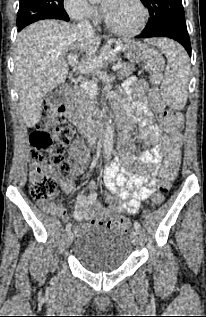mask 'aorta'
Segmentation results:
<instances>
[{"label": "aorta", "mask_w": 206, "mask_h": 317, "mask_svg": "<svg viewBox=\"0 0 206 317\" xmlns=\"http://www.w3.org/2000/svg\"><path fill=\"white\" fill-rule=\"evenodd\" d=\"M89 1L92 2L96 0H89ZM113 136H114L113 125H112V121L109 120L107 123L104 139H103L104 154L106 159L108 160L110 159L112 151H113V144H114Z\"/></svg>", "instance_id": "obj_1"}]
</instances>
